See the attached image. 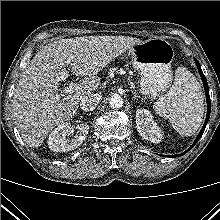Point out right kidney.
<instances>
[{"label":"right kidney","instance_id":"ca27d5eb","mask_svg":"<svg viewBox=\"0 0 220 220\" xmlns=\"http://www.w3.org/2000/svg\"><path fill=\"white\" fill-rule=\"evenodd\" d=\"M71 124L68 122L60 124L55 128L48 138L49 148L55 152H68L78 148L86 139L89 132V125L80 124L75 136L68 139L67 136L71 134Z\"/></svg>","mask_w":220,"mask_h":220}]
</instances>
